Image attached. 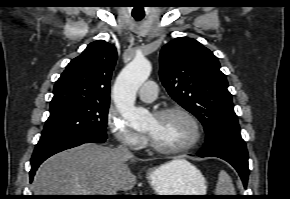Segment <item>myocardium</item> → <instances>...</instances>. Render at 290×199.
Listing matches in <instances>:
<instances>
[{"label": "myocardium", "mask_w": 290, "mask_h": 199, "mask_svg": "<svg viewBox=\"0 0 290 199\" xmlns=\"http://www.w3.org/2000/svg\"><path fill=\"white\" fill-rule=\"evenodd\" d=\"M173 114H178V115L183 116L192 125L193 131H194V136H193V139L191 140V142L188 143L187 145H185L183 147H179V148L169 149V148H164V147L159 146L151 139V137L148 134H146V139H147L149 147L153 151L160 153V154H163V155L176 156V155H182V154L189 153L190 151L195 149L200 144V142L203 138V131H202V127H201L200 122L191 112H189L185 108L177 107V106L163 108V109L156 111L154 113V116L161 118V117H165V116L173 115Z\"/></svg>", "instance_id": "obj_1"}]
</instances>
